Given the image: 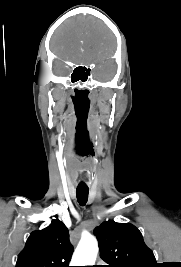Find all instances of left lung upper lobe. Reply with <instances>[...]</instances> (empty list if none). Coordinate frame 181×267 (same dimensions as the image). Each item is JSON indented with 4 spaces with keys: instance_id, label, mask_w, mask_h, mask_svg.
Here are the masks:
<instances>
[{
    "instance_id": "5c2ea615",
    "label": "left lung upper lobe",
    "mask_w": 181,
    "mask_h": 267,
    "mask_svg": "<svg viewBox=\"0 0 181 267\" xmlns=\"http://www.w3.org/2000/svg\"><path fill=\"white\" fill-rule=\"evenodd\" d=\"M106 267H158L140 231L130 223L103 222L94 230Z\"/></svg>"
}]
</instances>
